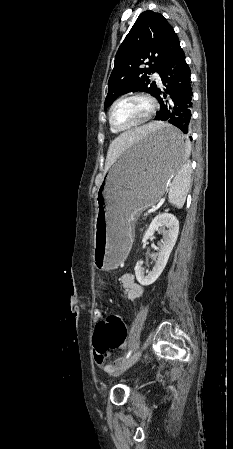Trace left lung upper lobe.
I'll return each mask as SVG.
<instances>
[{"label": "left lung upper lobe", "instance_id": "5c2ea615", "mask_svg": "<svg viewBox=\"0 0 233 449\" xmlns=\"http://www.w3.org/2000/svg\"><path fill=\"white\" fill-rule=\"evenodd\" d=\"M180 49L177 34L160 13H141L116 53L104 110L128 92L154 95L156 83L150 82L147 74H160Z\"/></svg>", "mask_w": 233, "mask_h": 449}]
</instances>
